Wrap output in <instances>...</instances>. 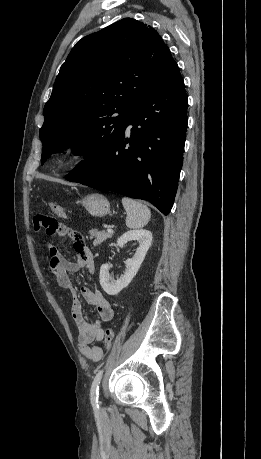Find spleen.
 <instances>
[{
  "mask_svg": "<svg viewBox=\"0 0 261 459\" xmlns=\"http://www.w3.org/2000/svg\"><path fill=\"white\" fill-rule=\"evenodd\" d=\"M122 204L126 211V226L130 229H139L147 225L151 218L149 208L131 198H122Z\"/></svg>",
  "mask_w": 261,
  "mask_h": 459,
  "instance_id": "3e777b00",
  "label": "spleen"
}]
</instances>
